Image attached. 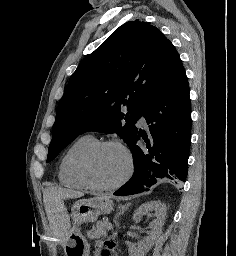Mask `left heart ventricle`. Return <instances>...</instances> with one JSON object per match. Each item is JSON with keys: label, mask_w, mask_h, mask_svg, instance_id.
Here are the masks:
<instances>
[{"label": "left heart ventricle", "mask_w": 236, "mask_h": 256, "mask_svg": "<svg viewBox=\"0 0 236 256\" xmlns=\"http://www.w3.org/2000/svg\"><path fill=\"white\" fill-rule=\"evenodd\" d=\"M127 168L124 153L117 147H107L95 155L90 164V177L100 187L118 183Z\"/></svg>", "instance_id": "b2bd125f"}]
</instances>
